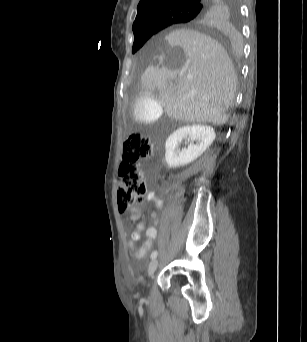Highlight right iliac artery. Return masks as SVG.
Here are the masks:
<instances>
[{"instance_id":"obj_1","label":"right iliac artery","mask_w":307,"mask_h":342,"mask_svg":"<svg viewBox=\"0 0 307 342\" xmlns=\"http://www.w3.org/2000/svg\"><path fill=\"white\" fill-rule=\"evenodd\" d=\"M157 257V251H153L151 254V259H155Z\"/></svg>"}]
</instances>
